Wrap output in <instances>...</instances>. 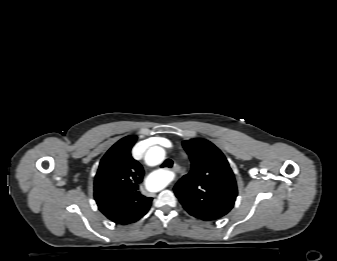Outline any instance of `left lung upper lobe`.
<instances>
[{"label":"left lung upper lobe","instance_id":"obj_1","mask_svg":"<svg viewBox=\"0 0 337 261\" xmlns=\"http://www.w3.org/2000/svg\"><path fill=\"white\" fill-rule=\"evenodd\" d=\"M182 144L192 167L175 185V195L191 216L215 221L234 206L237 197L234 174L223 153L211 142L196 138Z\"/></svg>","mask_w":337,"mask_h":261}]
</instances>
